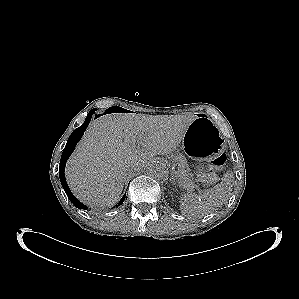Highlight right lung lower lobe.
Listing matches in <instances>:
<instances>
[{
    "mask_svg": "<svg viewBox=\"0 0 299 299\" xmlns=\"http://www.w3.org/2000/svg\"><path fill=\"white\" fill-rule=\"evenodd\" d=\"M95 110H91L87 117H86V120L85 122L80 126L78 127L77 129H75L71 136L69 137L68 141H67V144L63 150V153H62V156H61V160H60V167H59V177H60V181H61V185L63 187V189L65 190L68 198L70 199V201L79 209H88L86 205L82 204L81 202H79L75 196L71 193L68 185H67V182L65 180V176H64V172H65V165H66V161L67 159L69 158V156L72 154V152L74 151L75 149V146L76 144L80 141V139L82 138L86 128L88 127L89 125V122L91 120V117L93 115ZM98 117L97 115H95V118ZM126 195V194H125ZM125 195L121 198V200L119 201L117 207L119 205H121L124 200H125Z\"/></svg>",
    "mask_w": 299,
    "mask_h": 299,
    "instance_id": "98d812e1",
    "label": "right lung lower lobe"
}]
</instances>
